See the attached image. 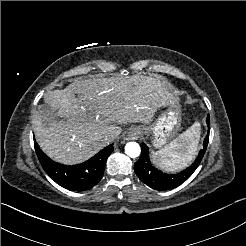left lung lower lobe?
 <instances>
[{
  "mask_svg": "<svg viewBox=\"0 0 246 246\" xmlns=\"http://www.w3.org/2000/svg\"><path fill=\"white\" fill-rule=\"evenodd\" d=\"M209 123L210 118L208 115L207 124ZM209 131L210 127L208 126V134L204 139L203 149L199 152L198 157L196 158L194 163L186 170L175 175H168L157 170L151 164V161L149 159L148 147L144 143H141V156L139 160L134 164L136 175L142 182H144L146 185L155 190H168L182 184L193 174V172L199 166L207 148L209 140Z\"/></svg>",
  "mask_w": 246,
  "mask_h": 246,
  "instance_id": "obj_1",
  "label": "left lung lower lobe"
}]
</instances>
